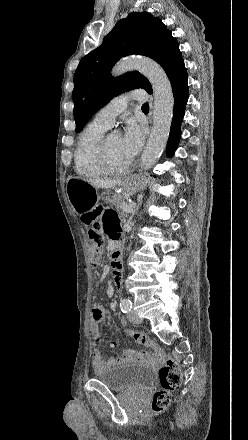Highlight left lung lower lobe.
I'll return each mask as SVG.
<instances>
[{
  "mask_svg": "<svg viewBox=\"0 0 248 440\" xmlns=\"http://www.w3.org/2000/svg\"><path fill=\"white\" fill-rule=\"evenodd\" d=\"M174 95V113L167 144V155L171 156L177 148L181 135V122L184 117L185 105L188 100V77L176 79L171 83Z\"/></svg>",
  "mask_w": 248,
  "mask_h": 440,
  "instance_id": "1",
  "label": "left lung lower lobe"
}]
</instances>
